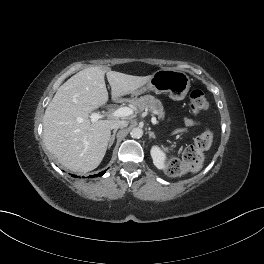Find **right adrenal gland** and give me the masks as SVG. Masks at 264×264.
Listing matches in <instances>:
<instances>
[{
  "label": "right adrenal gland",
  "instance_id": "2a0ac1e0",
  "mask_svg": "<svg viewBox=\"0 0 264 264\" xmlns=\"http://www.w3.org/2000/svg\"><path fill=\"white\" fill-rule=\"evenodd\" d=\"M116 132H117V129H115V130L113 131V134H112L111 137H110L109 144H108V148H110V147L112 146V144H113V142H114V140H115Z\"/></svg>",
  "mask_w": 264,
  "mask_h": 264
}]
</instances>
